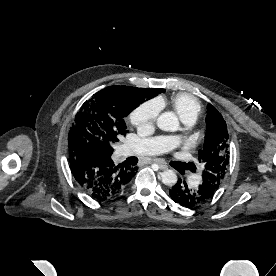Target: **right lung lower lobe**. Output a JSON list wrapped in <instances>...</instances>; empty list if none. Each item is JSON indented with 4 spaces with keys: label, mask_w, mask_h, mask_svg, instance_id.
Instances as JSON below:
<instances>
[{
    "label": "right lung lower lobe",
    "mask_w": 276,
    "mask_h": 276,
    "mask_svg": "<svg viewBox=\"0 0 276 276\" xmlns=\"http://www.w3.org/2000/svg\"><path fill=\"white\" fill-rule=\"evenodd\" d=\"M71 173L91 198L104 201L120 194L137 173V167L115 166L111 157H99L94 151L78 148L69 153Z\"/></svg>",
    "instance_id": "98d812e1"
}]
</instances>
